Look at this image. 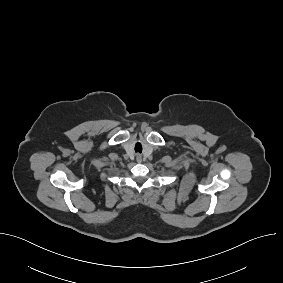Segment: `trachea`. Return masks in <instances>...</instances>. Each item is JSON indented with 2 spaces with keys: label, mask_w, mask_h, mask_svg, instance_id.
<instances>
[{
  "label": "trachea",
  "mask_w": 283,
  "mask_h": 283,
  "mask_svg": "<svg viewBox=\"0 0 283 283\" xmlns=\"http://www.w3.org/2000/svg\"><path fill=\"white\" fill-rule=\"evenodd\" d=\"M135 152H139V153L142 152V146H141L140 143H137V144L135 145Z\"/></svg>",
  "instance_id": "3493384b"
}]
</instances>
